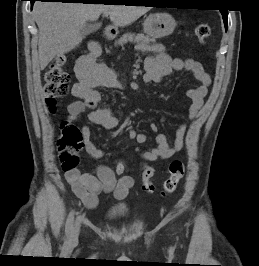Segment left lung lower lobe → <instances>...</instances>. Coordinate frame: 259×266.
I'll use <instances>...</instances> for the list:
<instances>
[{
  "label": "left lung lower lobe",
  "instance_id": "1",
  "mask_svg": "<svg viewBox=\"0 0 259 266\" xmlns=\"http://www.w3.org/2000/svg\"><path fill=\"white\" fill-rule=\"evenodd\" d=\"M222 12L223 15V21H224V25H225V30H227V17H228V12L227 10H220Z\"/></svg>",
  "mask_w": 259,
  "mask_h": 266
}]
</instances>
